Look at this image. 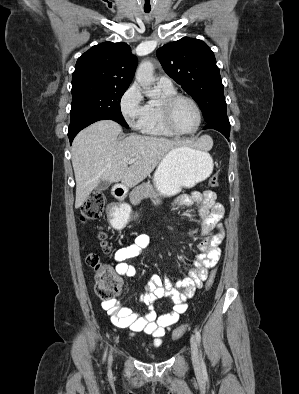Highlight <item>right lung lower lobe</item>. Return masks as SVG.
Returning <instances> with one entry per match:
<instances>
[{
	"mask_svg": "<svg viewBox=\"0 0 299 394\" xmlns=\"http://www.w3.org/2000/svg\"><path fill=\"white\" fill-rule=\"evenodd\" d=\"M106 119L104 117H87V118H78L75 120H72L69 126V130H68V137L70 140V143H72L74 137L76 136V134L82 130L83 128L87 127L88 125L99 121V120H103Z\"/></svg>",
	"mask_w": 299,
	"mask_h": 394,
	"instance_id": "98d812e1",
	"label": "right lung lower lobe"
}]
</instances>
